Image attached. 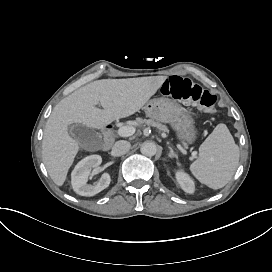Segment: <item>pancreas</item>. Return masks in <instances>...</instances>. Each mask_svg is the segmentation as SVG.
Masks as SVG:
<instances>
[{
	"label": "pancreas",
	"mask_w": 272,
	"mask_h": 272,
	"mask_svg": "<svg viewBox=\"0 0 272 272\" xmlns=\"http://www.w3.org/2000/svg\"><path fill=\"white\" fill-rule=\"evenodd\" d=\"M136 122H137V126L141 127L143 124L147 125V126H152V127H156L159 131L162 132H169V129L167 128L166 125H163L159 122H156L152 119H142V118H136Z\"/></svg>",
	"instance_id": "1"
}]
</instances>
